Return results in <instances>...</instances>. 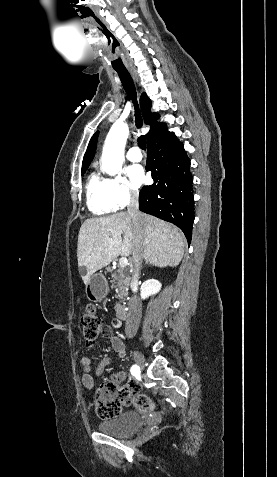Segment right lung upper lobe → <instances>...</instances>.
<instances>
[{
	"label": "right lung upper lobe",
	"instance_id": "right-lung-upper-lobe-1",
	"mask_svg": "<svg viewBox=\"0 0 277 477\" xmlns=\"http://www.w3.org/2000/svg\"><path fill=\"white\" fill-rule=\"evenodd\" d=\"M140 103L145 124L150 125V130L147 133L148 144L162 137L167 132V129L165 124L156 122L159 116L157 113L151 112V100L145 93L141 95ZM98 134L99 132L97 131L89 142L88 148L83 158L82 169H87L94 157Z\"/></svg>",
	"mask_w": 277,
	"mask_h": 477
}]
</instances>
